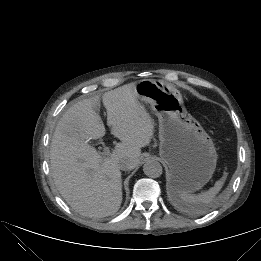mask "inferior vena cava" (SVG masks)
<instances>
[{"label":"inferior vena cava","mask_w":261,"mask_h":261,"mask_svg":"<svg viewBox=\"0 0 261 261\" xmlns=\"http://www.w3.org/2000/svg\"><path fill=\"white\" fill-rule=\"evenodd\" d=\"M119 168L121 170H129V169H132V165L128 160H121L119 162Z\"/></svg>","instance_id":"obj_1"}]
</instances>
